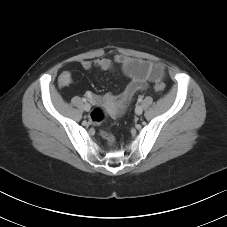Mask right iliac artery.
Masks as SVG:
<instances>
[{
  "label": "right iliac artery",
  "mask_w": 227,
  "mask_h": 227,
  "mask_svg": "<svg viewBox=\"0 0 227 227\" xmlns=\"http://www.w3.org/2000/svg\"><path fill=\"white\" fill-rule=\"evenodd\" d=\"M82 101L86 103L87 102V99L86 98H83Z\"/></svg>",
  "instance_id": "obj_1"
}]
</instances>
